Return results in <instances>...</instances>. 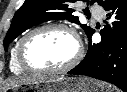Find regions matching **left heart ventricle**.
I'll list each match as a JSON object with an SVG mask.
<instances>
[{
	"instance_id": "b2bd125f",
	"label": "left heart ventricle",
	"mask_w": 127,
	"mask_h": 92,
	"mask_svg": "<svg viewBox=\"0 0 127 92\" xmlns=\"http://www.w3.org/2000/svg\"><path fill=\"white\" fill-rule=\"evenodd\" d=\"M76 49V42L68 32L48 30L36 35L28 42L25 55L31 66L53 69L70 61Z\"/></svg>"
}]
</instances>
